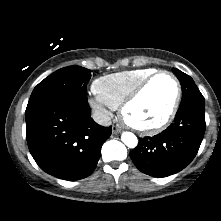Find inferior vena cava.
I'll return each instance as SVG.
<instances>
[{"label": "inferior vena cava", "instance_id": "obj_1", "mask_svg": "<svg viewBox=\"0 0 221 221\" xmlns=\"http://www.w3.org/2000/svg\"><path fill=\"white\" fill-rule=\"evenodd\" d=\"M92 118L95 122L102 126H110L111 125V118L107 113L104 112H94L92 114Z\"/></svg>", "mask_w": 221, "mask_h": 221}]
</instances>
